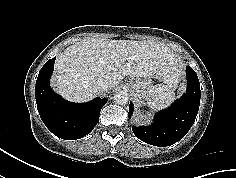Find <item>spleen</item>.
Returning a JSON list of instances; mask_svg holds the SVG:
<instances>
[{
    "label": "spleen",
    "mask_w": 236,
    "mask_h": 178,
    "mask_svg": "<svg viewBox=\"0 0 236 178\" xmlns=\"http://www.w3.org/2000/svg\"><path fill=\"white\" fill-rule=\"evenodd\" d=\"M176 99L173 83L158 84L152 87L147 97V104L152 110L168 107Z\"/></svg>",
    "instance_id": "obj_1"
}]
</instances>
